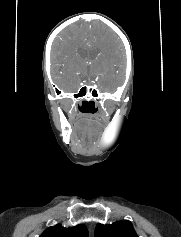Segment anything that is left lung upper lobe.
<instances>
[{"label": "left lung upper lobe", "instance_id": "left-lung-upper-lobe-1", "mask_svg": "<svg viewBox=\"0 0 181 237\" xmlns=\"http://www.w3.org/2000/svg\"><path fill=\"white\" fill-rule=\"evenodd\" d=\"M94 237H138L133 225L128 220H121L113 224H97Z\"/></svg>", "mask_w": 181, "mask_h": 237}]
</instances>
